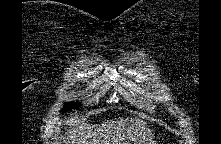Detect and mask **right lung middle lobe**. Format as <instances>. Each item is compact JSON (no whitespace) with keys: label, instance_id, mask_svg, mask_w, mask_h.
I'll list each match as a JSON object with an SVG mask.
<instances>
[{"label":"right lung middle lobe","instance_id":"obj_1","mask_svg":"<svg viewBox=\"0 0 221 144\" xmlns=\"http://www.w3.org/2000/svg\"><path fill=\"white\" fill-rule=\"evenodd\" d=\"M80 103H66L62 109V112H67V111H70L72 108H76L77 106H79Z\"/></svg>","mask_w":221,"mask_h":144}]
</instances>
